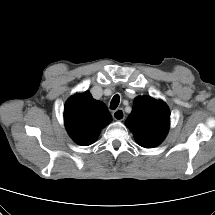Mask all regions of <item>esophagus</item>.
Returning a JSON list of instances; mask_svg holds the SVG:
<instances>
[{"label": "esophagus", "instance_id": "1", "mask_svg": "<svg viewBox=\"0 0 215 215\" xmlns=\"http://www.w3.org/2000/svg\"><path fill=\"white\" fill-rule=\"evenodd\" d=\"M112 116L117 121H122L125 118L124 111L121 108L116 109L115 111H113Z\"/></svg>", "mask_w": 215, "mask_h": 215}]
</instances>
